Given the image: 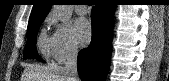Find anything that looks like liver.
Returning <instances> with one entry per match:
<instances>
[{
	"label": "liver",
	"mask_w": 169,
	"mask_h": 81,
	"mask_svg": "<svg viewBox=\"0 0 169 81\" xmlns=\"http://www.w3.org/2000/svg\"><path fill=\"white\" fill-rule=\"evenodd\" d=\"M21 81H70L61 66H29L24 70Z\"/></svg>",
	"instance_id": "1"
}]
</instances>
